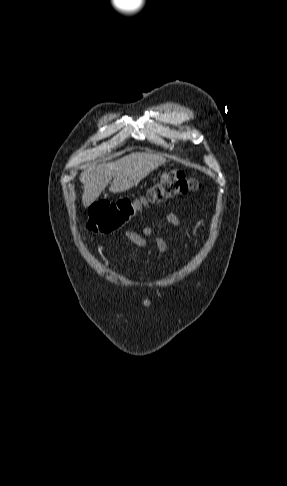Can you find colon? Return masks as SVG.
Listing matches in <instances>:
<instances>
[{"mask_svg":"<svg viewBox=\"0 0 287 486\" xmlns=\"http://www.w3.org/2000/svg\"><path fill=\"white\" fill-rule=\"evenodd\" d=\"M202 184L183 171H170L149 190L145 198L115 201L101 200L89 211L88 228L93 232L110 234L124 226L146 203L186 195L200 189Z\"/></svg>","mask_w":287,"mask_h":486,"instance_id":"colon-1","label":"colon"}]
</instances>
